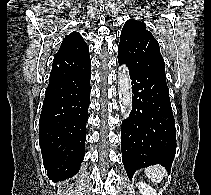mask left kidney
<instances>
[{"label": "left kidney", "instance_id": "1", "mask_svg": "<svg viewBox=\"0 0 211 195\" xmlns=\"http://www.w3.org/2000/svg\"><path fill=\"white\" fill-rule=\"evenodd\" d=\"M137 187L142 195H159L156 193V190L153 189L149 184L139 182L137 183Z\"/></svg>", "mask_w": 211, "mask_h": 195}]
</instances>
